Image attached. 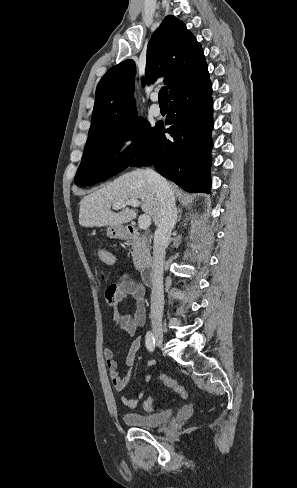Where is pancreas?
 Wrapping results in <instances>:
<instances>
[{
	"instance_id": "obj_1",
	"label": "pancreas",
	"mask_w": 297,
	"mask_h": 488,
	"mask_svg": "<svg viewBox=\"0 0 297 488\" xmlns=\"http://www.w3.org/2000/svg\"><path fill=\"white\" fill-rule=\"evenodd\" d=\"M132 257L137 270L144 268L151 260L150 241L145 235H136L131 242Z\"/></svg>"
}]
</instances>
